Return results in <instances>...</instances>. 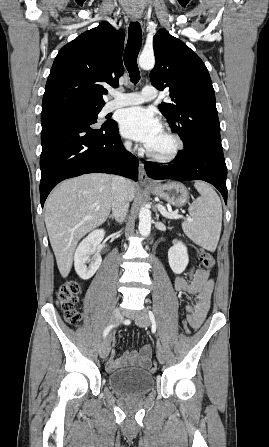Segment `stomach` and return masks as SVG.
<instances>
[{"instance_id": "obj_1", "label": "stomach", "mask_w": 269, "mask_h": 447, "mask_svg": "<svg viewBox=\"0 0 269 447\" xmlns=\"http://www.w3.org/2000/svg\"><path fill=\"white\" fill-rule=\"evenodd\" d=\"M148 190L162 198L165 202H169L172 206H185L189 200L187 188L180 184V182H169V184H153L149 186Z\"/></svg>"}]
</instances>
